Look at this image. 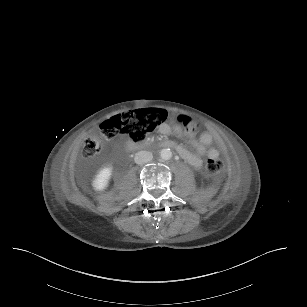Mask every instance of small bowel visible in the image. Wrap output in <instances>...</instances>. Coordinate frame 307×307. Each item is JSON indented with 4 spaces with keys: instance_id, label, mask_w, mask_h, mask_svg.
<instances>
[{
    "instance_id": "c3829d8e",
    "label": "small bowel",
    "mask_w": 307,
    "mask_h": 307,
    "mask_svg": "<svg viewBox=\"0 0 307 307\" xmlns=\"http://www.w3.org/2000/svg\"><path fill=\"white\" fill-rule=\"evenodd\" d=\"M160 131L166 135L174 133L180 136L182 134L179 127L172 128L167 124L162 125L160 127ZM172 143L174 144V149L177 150L179 155L195 168H199L202 165L200 155L206 154L208 157L219 156L218 149L211 147V144L213 143V136L208 132H203L198 139L193 137L189 138L188 144L195 150V152H192L175 142Z\"/></svg>"
}]
</instances>
